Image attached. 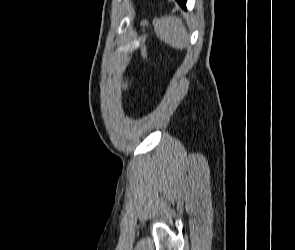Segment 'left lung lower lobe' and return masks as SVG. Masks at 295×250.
<instances>
[{"mask_svg": "<svg viewBox=\"0 0 295 250\" xmlns=\"http://www.w3.org/2000/svg\"><path fill=\"white\" fill-rule=\"evenodd\" d=\"M176 1L179 3V5H180L182 8L186 9V1H187V0H176Z\"/></svg>", "mask_w": 295, "mask_h": 250, "instance_id": "obj_1", "label": "left lung lower lobe"}]
</instances>
